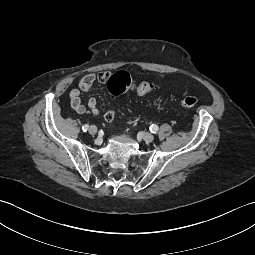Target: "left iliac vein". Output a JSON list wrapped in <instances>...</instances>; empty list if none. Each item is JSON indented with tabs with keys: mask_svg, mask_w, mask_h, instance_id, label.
I'll use <instances>...</instances> for the list:
<instances>
[{
	"mask_svg": "<svg viewBox=\"0 0 255 255\" xmlns=\"http://www.w3.org/2000/svg\"><path fill=\"white\" fill-rule=\"evenodd\" d=\"M141 137L147 143H150V142H152L154 140L153 134L147 133V132H142L141 133Z\"/></svg>",
	"mask_w": 255,
	"mask_h": 255,
	"instance_id": "1",
	"label": "left iliac vein"
}]
</instances>
